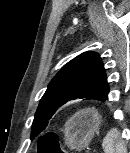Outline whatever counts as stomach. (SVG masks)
Instances as JSON below:
<instances>
[{
	"label": "stomach",
	"mask_w": 130,
	"mask_h": 153,
	"mask_svg": "<svg viewBox=\"0 0 130 153\" xmlns=\"http://www.w3.org/2000/svg\"><path fill=\"white\" fill-rule=\"evenodd\" d=\"M102 122V116L95 109L77 112L63 129L67 145L79 151L87 148L94 135L98 134Z\"/></svg>",
	"instance_id": "1"
}]
</instances>
